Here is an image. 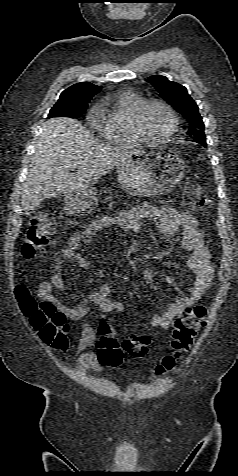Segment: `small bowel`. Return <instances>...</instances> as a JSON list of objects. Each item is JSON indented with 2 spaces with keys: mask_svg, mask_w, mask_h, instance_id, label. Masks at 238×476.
<instances>
[{
  "mask_svg": "<svg viewBox=\"0 0 238 476\" xmlns=\"http://www.w3.org/2000/svg\"><path fill=\"white\" fill-rule=\"evenodd\" d=\"M149 219L157 221V232L167 239H172L180 233L183 246L191 253L187 260V266L194 279L188 295L177 299L162 312L154 314L150 320L152 327L167 329L184 309L194 306L204 297L213 279L210 251L205 244L203 233L199 229L197 221L191 214L180 212L174 208L141 205L117 215L98 217L83 225L79 231L70 237L68 246L63 250V256L78 267L87 269L90 267V262L79 252V247L88 244L96 231L119 226L126 232L135 234L141 229V221ZM63 278L62 261L55 260L51 268L50 280L40 283L38 296L42 302L51 304L58 313L70 320L84 318L92 306L98 309L97 320L83 326L81 337L75 346V352L77 365L80 368L99 371L103 365L98 359L97 352L88 349L95 344L99 330L107 322L109 314L122 312L125 310V306L120 301L112 298L110 286L107 283H102L98 291L85 297L77 307H69L63 304L54 294V291H65Z\"/></svg>",
  "mask_w": 238,
  "mask_h": 476,
  "instance_id": "obj_1",
  "label": "small bowel"
}]
</instances>
